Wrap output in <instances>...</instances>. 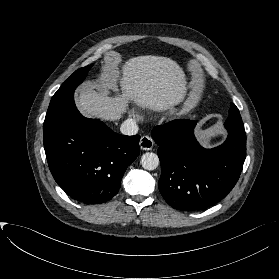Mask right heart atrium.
Instances as JSON below:
<instances>
[{"instance_id": "right-heart-atrium-1", "label": "right heart atrium", "mask_w": 279, "mask_h": 279, "mask_svg": "<svg viewBox=\"0 0 279 279\" xmlns=\"http://www.w3.org/2000/svg\"><path fill=\"white\" fill-rule=\"evenodd\" d=\"M134 116H137V114L134 112Z\"/></svg>"}]
</instances>
